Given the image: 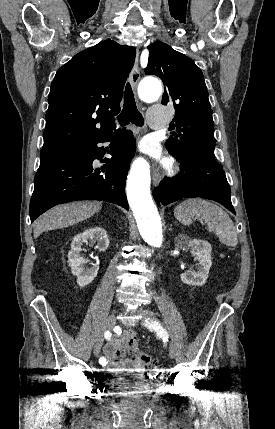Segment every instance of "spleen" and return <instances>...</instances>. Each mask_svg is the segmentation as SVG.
<instances>
[{
    "label": "spleen",
    "instance_id": "1",
    "mask_svg": "<svg viewBox=\"0 0 275 429\" xmlns=\"http://www.w3.org/2000/svg\"><path fill=\"white\" fill-rule=\"evenodd\" d=\"M174 215L184 225H190L194 220L205 222L222 244L230 247L238 244L237 232L232 220L216 204L201 198L188 199L175 208Z\"/></svg>",
    "mask_w": 275,
    "mask_h": 429
}]
</instances>
